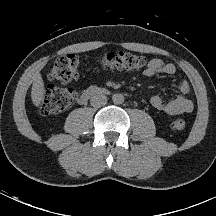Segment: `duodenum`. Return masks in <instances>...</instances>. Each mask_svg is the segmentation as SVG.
Listing matches in <instances>:
<instances>
[{
	"instance_id": "obj_1",
	"label": "duodenum",
	"mask_w": 216,
	"mask_h": 216,
	"mask_svg": "<svg viewBox=\"0 0 216 216\" xmlns=\"http://www.w3.org/2000/svg\"><path fill=\"white\" fill-rule=\"evenodd\" d=\"M107 93H108V90H106L104 88L90 87L81 94L79 102H80V104H84L93 95H99V94L103 95V94H107Z\"/></svg>"
}]
</instances>
